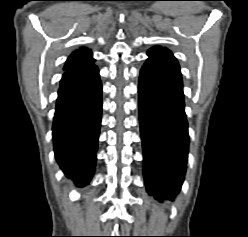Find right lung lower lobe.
I'll return each instance as SVG.
<instances>
[{"instance_id":"right-lung-lower-lobe-1","label":"right lung lower lobe","mask_w":248,"mask_h":237,"mask_svg":"<svg viewBox=\"0 0 248 237\" xmlns=\"http://www.w3.org/2000/svg\"><path fill=\"white\" fill-rule=\"evenodd\" d=\"M97 66L63 74L53 122L57 162L75 183L86 185L94 173L102 95Z\"/></svg>"}]
</instances>
